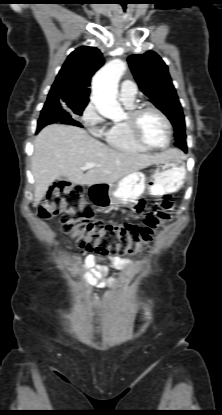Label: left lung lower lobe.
I'll use <instances>...</instances> for the list:
<instances>
[{"label":"left lung lower lobe","mask_w":222,"mask_h":415,"mask_svg":"<svg viewBox=\"0 0 222 415\" xmlns=\"http://www.w3.org/2000/svg\"><path fill=\"white\" fill-rule=\"evenodd\" d=\"M184 151L186 152L187 151V148H185Z\"/></svg>","instance_id":"1"}]
</instances>
